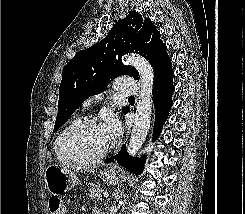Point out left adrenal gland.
Listing matches in <instances>:
<instances>
[{"instance_id":"left-adrenal-gland-1","label":"left adrenal gland","mask_w":245,"mask_h":214,"mask_svg":"<svg viewBox=\"0 0 245 214\" xmlns=\"http://www.w3.org/2000/svg\"><path fill=\"white\" fill-rule=\"evenodd\" d=\"M122 193V190L120 189V187H118L117 189H115L114 195L117 199H119L122 196Z\"/></svg>"}]
</instances>
